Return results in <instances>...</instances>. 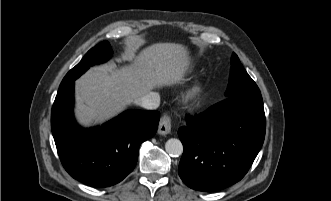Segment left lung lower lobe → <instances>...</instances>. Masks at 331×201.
<instances>
[{
	"label": "left lung lower lobe",
	"instance_id": "left-lung-lower-lobe-1",
	"mask_svg": "<svg viewBox=\"0 0 331 201\" xmlns=\"http://www.w3.org/2000/svg\"><path fill=\"white\" fill-rule=\"evenodd\" d=\"M261 93L226 98L203 113L186 117L178 130L184 152L178 172L198 191H218L241 180L265 137Z\"/></svg>",
	"mask_w": 331,
	"mask_h": 201
}]
</instances>
